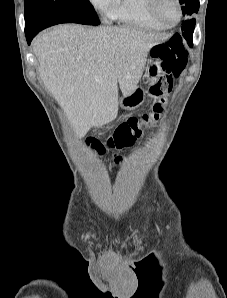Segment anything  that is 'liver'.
<instances>
[{
	"label": "liver",
	"mask_w": 227,
	"mask_h": 298,
	"mask_svg": "<svg viewBox=\"0 0 227 298\" xmlns=\"http://www.w3.org/2000/svg\"><path fill=\"white\" fill-rule=\"evenodd\" d=\"M169 38L131 27L63 24L39 34L33 50L44 85L82 138L116 119L118 83L123 95L132 93L150 49Z\"/></svg>",
	"instance_id": "obj_1"
}]
</instances>
